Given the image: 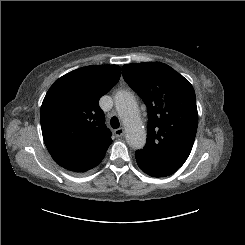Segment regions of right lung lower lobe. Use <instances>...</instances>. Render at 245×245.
Segmentation results:
<instances>
[{
  "instance_id": "obj_1",
  "label": "right lung lower lobe",
  "mask_w": 245,
  "mask_h": 245,
  "mask_svg": "<svg viewBox=\"0 0 245 245\" xmlns=\"http://www.w3.org/2000/svg\"><path fill=\"white\" fill-rule=\"evenodd\" d=\"M104 155H105V154H104ZM104 155H103L102 157H100V159L97 160V162H96L91 168H93V167H95L96 165H98V164L102 161ZM91 168H89V169H91ZM89 169H87V170H89ZM87 170H85V171H87Z\"/></svg>"
}]
</instances>
